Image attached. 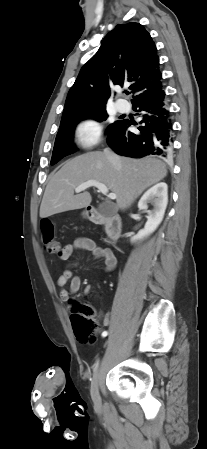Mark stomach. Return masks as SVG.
Returning a JSON list of instances; mask_svg holds the SVG:
<instances>
[{"label":"stomach","mask_w":207,"mask_h":449,"mask_svg":"<svg viewBox=\"0 0 207 449\" xmlns=\"http://www.w3.org/2000/svg\"><path fill=\"white\" fill-rule=\"evenodd\" d=\"M83 216H86V213H83Z\"/></svg>","instance_id":"0dacf381"}]
</instances>
